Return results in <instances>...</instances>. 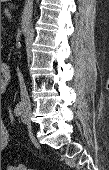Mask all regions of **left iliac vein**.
Returning <instances> with one entry per match:
<instances>
[{"instance_id":"left-iliac-vein-1","label":"left iliac vein","mask_w":109,"mask_h":170,"mask_svg":"<svg viewBox=\"0 0 109 170\" xmlns=\"http://www.w3.org/2000/svg\"><path fill=\"white\" fill-rule=\"evenodd\" d=\"M22 122L25 124L29 122V118L26 116V114L22 116Z\"/></svg>"}]
</instances>
